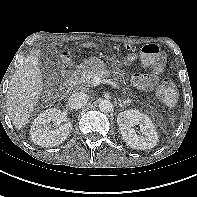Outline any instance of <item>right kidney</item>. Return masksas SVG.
<instances>
[{
	"label": "right kidney",
	"instance_id": "right-kidney-1",
	"mask_svg": "<svg viewBox=\"0 0 197 197\" xmlns=\"http://www.w3.org/2000/svg\"><path fill=\"white\" fill-rule=\"evenodd\" d=\"M51 122L58 128L52 130ZM71 129L72 124L65 119L61 110L47 109L34 120L30 130L31 140L42 147H54L65 141Z\"/></svg>",
	"mask_w": 197,
	"mask_h": 197
}]
</instances>
